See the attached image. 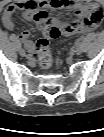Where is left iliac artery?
I'll list each match as a JSON object with an SVG mask.
<instances>
[{"instance_id":"obj_1","label":"left iliac artery","mask_w":104,"mask_h":137,"mask_svg":"<svg viewBox=\"0 0 104 137\" xmlns=\"http://www.w3.org/2000/svg\"><path fill=\"white\" fill-rule=\"evenodd\" d=\"M81 42V39L80 38H77L74 40V43L77 44V43H80Z\"/></svg>"}]
</instances>
